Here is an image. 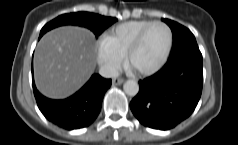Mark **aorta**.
<instances>
[{
    "label": "aorta",
    "instance_id": "obj_1",
    "mask_svg": "<svg viewBox=\"0 0 238 145\" xmlns=\"http://www.w3.org/2000/svg\"><path fill=\"white\" fill-rule=\"evenodd\" d=\"M124 92L129 96H136L139 92V85L134 80H127L123 85Z\"/></svg>",
    "mask_w": 238,
    "mask_h": 145
}]
</instances>
